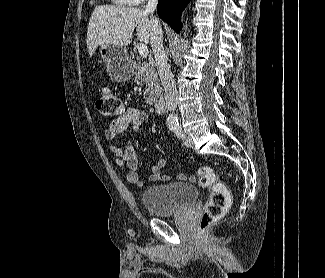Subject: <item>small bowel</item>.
Instances as JSON below:
<instances>
[{"label": "small bowel", "instance_id": "obj_1", "mask_svg": "<svg viewBox=\"0 0 325 278\" xmlns=\"http://www.w3.org/2000/svg\"><path fill=\"white\" fill-rule=\"evenodd\" d=\"M148 119V113L138 108H129L119 118L115 119L105 130L104 135L108 140L115 139L118 135L123 134L128 127L137 131L140 126ZM110 152L115 156V164L120 168H126V179L129 183L142 187V181L139 178L138 166L139 157L135 146L132 142H128L125 147L111 144ZM165 160L157 159L151 166L150 181L160 182L168 180V176L163 173ZM180 179H184V175H179Z\"/></svg>", "mask_w": 325, "mask_h": 278}]
</instances>
